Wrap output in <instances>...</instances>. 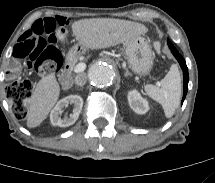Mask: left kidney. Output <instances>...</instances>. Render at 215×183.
<instances>
[{
  "instance_id": "left-kidney-1",
  "label": "left kidney",
  "mask_w": 215,
  "mask_h": 183,
  "mask_svg": "<svg viewBox=\"0 0 215 183\" xmlns=\"http://www.w3.org/2000/svg\"><path fill=\"white\" fill-rule=\"evenodd\" d=\"M130 108L137 114H145L149 110L148 101L144 99L137 90L128 93Z\"/></svg>"
}]
</instances>
